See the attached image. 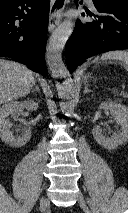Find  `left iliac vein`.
Instances as JSON below:
<instances>
[{"label": "left iliac vein", "mask_w": 128, "mask_h": 213, "mask_svg": "<svg viewBox=\"0 0 128 213\" xmlns=\"http://www.w3.org/2000/svg\"><path fill=\"white\" fill-rule=\"evenodd\" d=\"M78 202L80 206L86 211V213H91L90 205L81 193L78 194Z\"/></svg>", "instance_id": "left-iliac-vein-1"}]
</instances>
